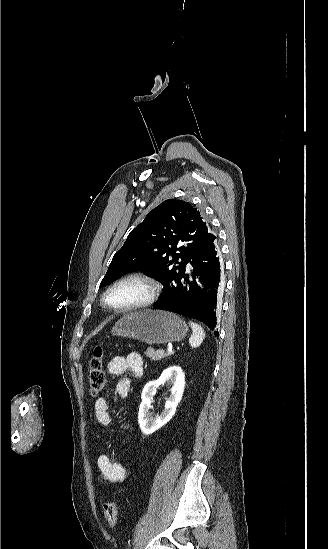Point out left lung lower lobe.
<instances>
[{
    "label": "left lung lower lobe",
    "instance_id": "obj_1",
    "mask_svg": "<svg viewBox=\"0 0 328 549\" xmlns=\"http://www.w3.org/2000/svg\"><path fill=\"white\" fill-rule=\"evenodd\" d=\"M190 265V274L185 270L170 294L154 304L153 309L198 319L218 336L216 324L223 281L220 250L216 242L201 249L191 259Z\"/></svg>",
    "mask_w": 328,
    "mask_h": 549
}]
</instances>
